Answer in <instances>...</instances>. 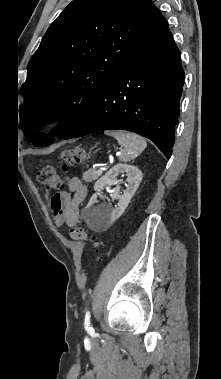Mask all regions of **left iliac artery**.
<instances>
[{
    "label": "left iliac artery",
    "instance_id": "left-iliac-artery-1",
    "mask_svg": "<svg viewBox=\"0 0 221 379\" xmlns=\"http://www.w3.org/2000/svg\"><path fill=\"white\" fill-rule=\"evenodd\" d=\"M85 324L86 325H89L90 324V316H89V312L87 313L86 317H85Z\"/></svg>",
    "mask_w": 221,
    "mask_h": 379
}]
</instances>
